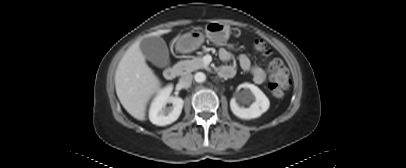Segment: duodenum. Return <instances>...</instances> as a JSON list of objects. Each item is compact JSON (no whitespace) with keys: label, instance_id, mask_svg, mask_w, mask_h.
<instances>
[{"label":"duodenum","instance_id":"obj_1","mask_svg":"<svg viewBox=\"0 0 406 168\" xmlns=\"http://www.w3.org/2000/svg\"><path fill=\"white\" fill-rule=\"evenodd\" d=\"M179 74V67L178 66H170L165 69L164 77L166 80L173 81L177 78ZM219 75L223 78H229L233 76L232 70L229 69H221L219 71Z\"/></svg>","mask_w":406,"mask_h":168}]
</instances>
